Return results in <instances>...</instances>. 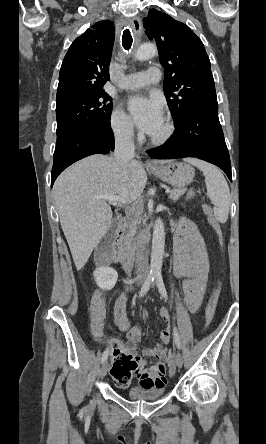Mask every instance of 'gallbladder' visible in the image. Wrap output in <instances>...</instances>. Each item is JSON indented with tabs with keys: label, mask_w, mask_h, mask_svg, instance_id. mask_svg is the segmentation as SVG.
<instances>
[{
	"label": "gallbladder",
	"mask_w": 266,
	"mask_h": 444,
	"mask_svg": "<svg viewBox=\"0 0 266 444\" xmlns=\"http://www.w3.org/2000/svg\"><path fill=\"white\" fill-rule=\"evenodd\" d=\"M117 228V221H113L109 231L104 235L97 247L98 256H102L105 251H109L112 245L113 237Z\"/></svg>",
	"instance_id": "1"
}]
</instances>
